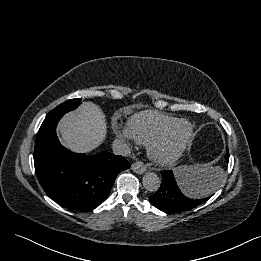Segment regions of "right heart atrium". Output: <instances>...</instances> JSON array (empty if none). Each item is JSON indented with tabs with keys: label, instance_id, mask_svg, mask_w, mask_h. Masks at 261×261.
Segmentation results:
<instances>
[{
	"label": "right heart atrium",
	"instance_id": "right-heart-atrium-1",
	"mask_svg": "<svg viewBox=\"0 0 261 261\" xmlns=\"http://www.w3.org/2000/svg\"><path fill=\"white\" fill-rule=\"evenodd\" d=\"M113 132L116 137L122 139L125 141L127 144H131L133 138L126 127H121V126H114Z\"/></svg>",
	"mask_w": 261,
	"mask_h": 261
}]
</instances>
